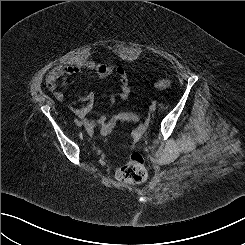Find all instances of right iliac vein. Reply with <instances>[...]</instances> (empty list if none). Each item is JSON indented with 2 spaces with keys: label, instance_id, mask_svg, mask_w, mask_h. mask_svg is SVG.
Segmentation results:
<instances>
[{
  "label": "right iliac vein",
  "instance_id": "1",
  "mask_svg": "<svg viewBox=\"0 0 245 245\" xmlns=\"http://www.w3.org/2000/svg\"><path fill=\"white\" fill-rule=\"evenodd\" d=\"M82 125H83V123H82V122H79V123H78V126H79V127H81Z\"/></svg>",
  "mask_w": 245,
  "mask_h": 245
}]
</instances>
